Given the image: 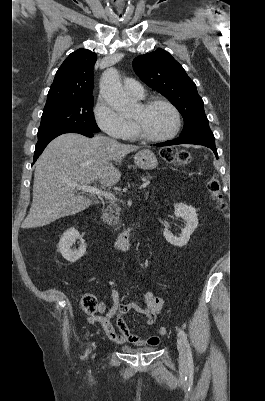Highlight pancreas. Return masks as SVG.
I'll use <instances>...</instances> for the list:
<instances>
[{
    "mask_svg": "<svg viewBox=\"0 0 265 401\" xmlns=\"http://www.w3.org/2000/svg\"><path fill=\"white\" fill-rule=\"evenodd\" d=\"M142 178H152L149 172H146V176H142ZM116 215H120V209L115 205V203H111L108 205L107 209H104L102 219L104 223H108V225H116L119 219Z\"/></svg>",
    "mask_w": 265,
    "mask_h": 401,
    "instance_id": "pancreas-1",
    "label": "pancreas"
}]
</instances>
